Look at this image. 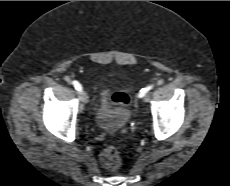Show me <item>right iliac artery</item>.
<instances>
[{"label":"right iliac artery","mask_w":230,"mask_h":186,"mask_svg":"<svg viewBox=\"0 0 230 186\" xmlns=\"http://www.w3.org/2000/svg\"><path fill=\"white\" fill-rule=\"evenodd\" d=\"M72 84L76 90H78V91L82 90V86L80 85V83L78 81H73Z\"/></svg>","instance_id":"obj_1"}]
</instances>
